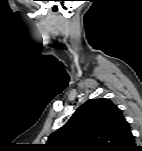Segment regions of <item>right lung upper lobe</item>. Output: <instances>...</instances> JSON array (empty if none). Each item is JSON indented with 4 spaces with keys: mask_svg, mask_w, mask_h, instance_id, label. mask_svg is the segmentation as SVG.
<instances>
[{
    "mask_svg": "<svg viewBox=\"0 0 142 151\" xmlns=\"http://www.w3.org/2000/svg\"><path fill=\"white\" fill-rule=\"evenodd\" d=\"M134 141L122 111L109 99H90L52 133L50 151H122Z\"/></svg>",
    "mask_w": 142,
    "mask_h": 151,
    "instance_id": "cb5924a9",
    "label": "right lung upper lobe"
}]
</instances>
